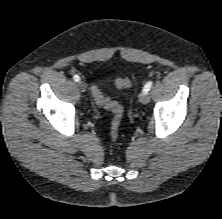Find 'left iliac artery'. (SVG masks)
<instances>
[{
	"mask_svg": "<svg viewBox=\"0 0 222 219\" xmlns=\"http://www.w3.org/2000/svg\"><path fill=\"white\" fill-rule=\"evenodd\" d=\"M151 87H152V82L149 81V82H147V83L145 84V86H144V88H143V91H144V92H148V91L151 89Z\"/></svg>",
	"mask_w": 222,
	"mask_h": 219,
	"instance_id": "1",
	"label": "left iliac artery"
}]
</instances>
